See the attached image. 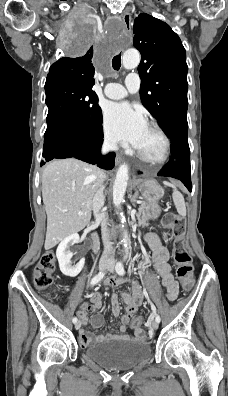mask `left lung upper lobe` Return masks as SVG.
Returning <instances> with one entry per match:
<instances>
[{
	"instance_id": "obj_1",
	"label": "left lung upper lobe",
	"mask_w": 228,
	"mask_h": 396,
	"mask_svg": "<svg viewBox=\"0 0 228 396\" xmlns=\"http://www.w3.org/2000/svg\"><path fill=\"white\" fill-rule=\"evenodd\" d=\"M133 33L141 53L140 98L162 127L172 112L188 106L186 51L170 26L151 15L140 14Z\"/></svg>"
}]
</instances>
